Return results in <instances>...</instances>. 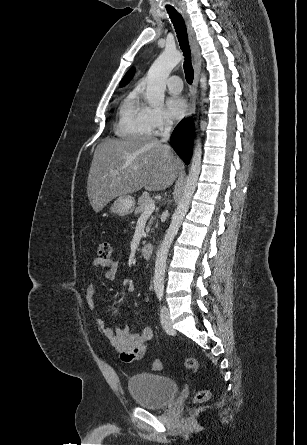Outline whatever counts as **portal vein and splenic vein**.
<instances>
[{
	"label": "portal vein and splenic vein",
	"mask_w": 307,
	"mask_h": 445,
	"mask_svg": "<svg viewBox=\"0 0 307 445\" xmlns=\"http://www.w3.org/2000/svg\"><path fill=\"white\" fill-rule=\"evenodd\" d=\"M136 170V168H134ZM111 174H120L119 170H111ZM155 208V202L152 200V202H149V204H146L144 208V212H142L141 216H144V214H150L152 210Z\"/></svg>",
	"instance_id": "obj_1"
}]
</instances>
